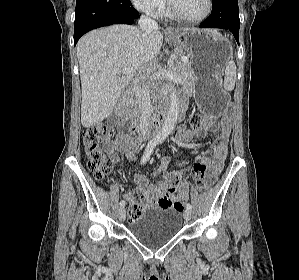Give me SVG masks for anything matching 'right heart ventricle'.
I'll return each mask as SVG.
<instances>
[{
	"label": "right heart ventricle",
	"mask_w": 299,
	"mask_h": 280,
	"mask_svg": "<svg viewBox=\"0 0 299 280\" xmlns=\"http://www.w3.org/2000/svg\"><path fill=\"white\" fill-rule=\"evenodd\" d=\"M157 16L160 17H171L172 15L167 10V7L165 5H162V7L156 12Z\"/></svg>",
	"instance_id": "right-heart-ventricle-1"
}]
</instances>
